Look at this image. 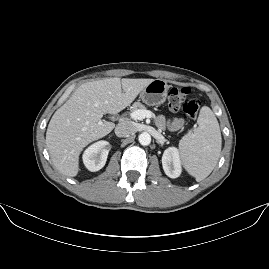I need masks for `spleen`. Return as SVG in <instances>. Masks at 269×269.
<instances>
[{
    "instance_id": "3e777b00",
    "label": "spleen",
    "mask_w": 269,
    "mask_h": 269,
    "mask_svg": "<svg viewBox=\"0 0 269 269\" xmlns=\"http://www.w3.org/2000/svg\"><path fill=\"white\" fill-rule=\"evenodd\" d=\"M196 124L183 136L179 147L186 169L197 181H202L219 159L221 132L214 113L207 106L201 107Z\"/></svg>"
}]
</instances>
